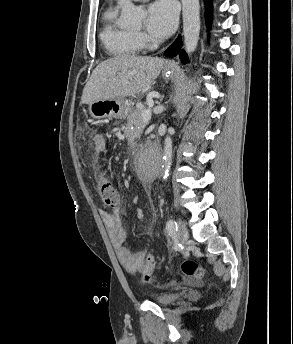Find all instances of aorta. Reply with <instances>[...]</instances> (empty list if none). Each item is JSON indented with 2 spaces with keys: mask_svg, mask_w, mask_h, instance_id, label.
Instances as JSON below:
<instances>
[{
  "mask_svg": "<svg viewBox=\"0 0 293 344\" xmlns=\"http://www.w3.org/2000/svg\"><path fill=\"white\" fill-rule=\"evenodd\" d=\"M183 8V34L185 50L188 55L196 50L200 33V4L199 0H181ZM145 12L142 8L127 2L121 11V23L124 26L138 25ZM171 128L168 129V132ZM172 161V138L167 135L164 140L163 150V179H166ZM157 159L153 152H143L137 160V169L140 173L153 171L156 167Z\"/></svg>",
  "mask_w": 293,
  "mask_h": 344,
  "instance_id": "aorta-1",
  "label": "aorta"
}]
</instances>
